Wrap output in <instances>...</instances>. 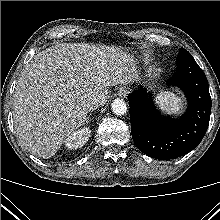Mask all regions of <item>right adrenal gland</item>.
<instances>
[{
    "mask_svg": "<svg viewBox=\"0 0 220 220\" xmlns=\"http://www.w3.org/2000/svg\"><path fill=\"white\" fill-rule=\"evenodd\" d=\"M91 116L92 114H89L86 118V124L88 125V123L91 121Z\"/></svg>",
    "mask_w": 220,
    "mask_h": 220,
    "instance_id": "right-adrenal-gland-1",
    "label": "right adrenal gland"
}]
</instances>
